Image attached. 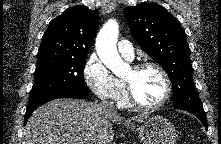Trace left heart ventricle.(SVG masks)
<instances>
[{"mask_svg": "<svg viewBox=\"0 0 221 144\" xmlns=\"http://www.w3.org/2000/svg\"><path fill=\"white\" fill-rule=\"evenodd\" d=\"M124 79L131 83L136 98L144 104H155L164 96L165 83L155 68H146L138 73L130 69Z\"/></svg>", "mask_w": 221, "mask_h": 144, "instance_id": "b2bd125f", "label": "left heart ventricle"}]
</instances>
